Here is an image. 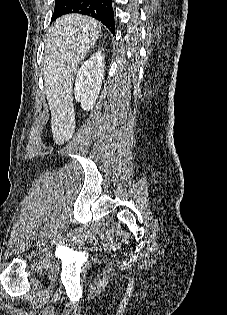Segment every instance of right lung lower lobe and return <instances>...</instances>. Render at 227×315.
Returning a JSON list of instances; mask_svg holds the SVG:
<instances>
[{
    "label": "right lung lower lobe",
    "instance_id": "obj_1",
    "mask_svg": "<svg viewBox=\"0 0 227 315\" xmlns=\"http://www.w3.org/2000/svg\"><path fill=\"white\" fill-rule=\"evenodd\" d=\"M70 13L94 17L101 21L114 35V13L111 0H56L52 21Z\"/></svg>",
    "mask_w": 227,
    "mask_h": 315
}]
</instances>
